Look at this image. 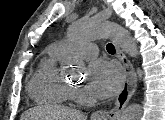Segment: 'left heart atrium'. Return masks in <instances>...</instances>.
<instances>
[{
    "label": "left heart atrium",
    "mask_w": 165,
    "mask_h": 120,
    "mask_svg": "<svg viewBox=\"0 0 165 120\" xmlns=\"http://www.w3.org/2000/svg\"><path fill=\"white\" fill-rule=\"evenodd\" d=\"M88 91L96 97L108 98L120 88L123 75L115 63L104 60L94 61L88 70Z\"/></svg>",
    "instance_id": "obj_1"
}]
</instances>
